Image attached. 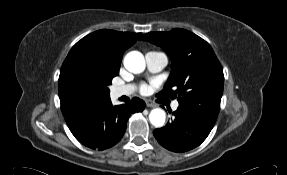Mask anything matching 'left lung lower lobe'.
<instances>
[{
	"mask_svg": "<svg viewBox=\"0 0 287 175\" xmlns=\"http://www.w3.org/2000/svg\"><path fill=\"white\" fill-rule=\"evenodd\" d=\"M173 115V120L165 127L153 131L156 140L173 152H185L199 146L213 128V125L183 107H178Z\"/></svg>",
	"mask_w": 287,
	"mask_h": 175,
	"instance_id": "left-lung-lower-lobe-1",
	"label": "left lung lower lobe"
}]
</instances>
